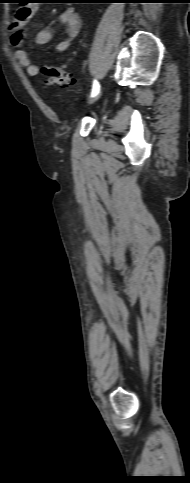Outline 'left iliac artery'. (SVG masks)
<instances>
[{
    "instance_id": "left-iliac-artery-1",
    "label": "left iliac artery",
    "mask_w": 190,
    "mask_h": 483,
    "mask_svg": "<svg viewBox=\"0 0 190 483\" xmlns=\"http://www.w3.org/2000/svg\"><path fill=\"white\" fill-rule=\"evenodd\" d=\"M99 90H100V85L96 80H94L91 97H95L99 93Z\"/></svg>"
}]
</instances>
